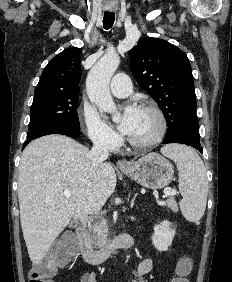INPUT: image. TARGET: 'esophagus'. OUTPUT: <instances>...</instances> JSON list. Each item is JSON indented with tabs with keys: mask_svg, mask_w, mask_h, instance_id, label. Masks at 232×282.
<instances>
[{
	"mask_svg": "<svg viewBox=\"0 0 232 282\" xmlns=\"http://www.w3.org/2000/svg\"><path fill=\"white\" fill-rule=\"evenodd\" d=\"M117 166H118L119 168H121V169H125V168H129V167H130V164H129L127 161H125V160H119V161L117 162Z\"/></svg>",
	"mask_w": 232,
	"mask_h": 282,
	"instance_id": "1",
	"label": "esophagus"
}]
</instances>
